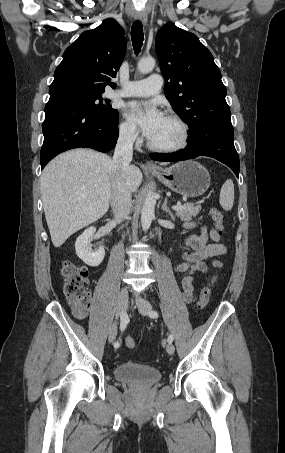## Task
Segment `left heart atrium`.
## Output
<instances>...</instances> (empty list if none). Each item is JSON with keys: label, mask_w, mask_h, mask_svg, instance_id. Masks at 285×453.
<instances>
[{"label": "left heart atrium", "mask_w": 285, "mask_h": 453, "mask_svg": "<svg viewBox=\"0 0 285 453\" xmlns=\"http://www.w3.org/2000/svg\"><path fill=\"white\" fill-rule=\"evenodd\" d=\"M126 113L141 127L148 138L154 135L164 118V114L155 102L132 101L127 104Z\"/></svg>", "instance_id": "39dd6f15"}]
</instances>
